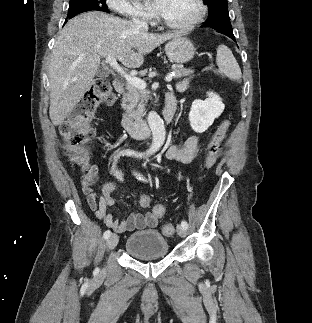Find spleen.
Returning a JSON list of instances; mask_svg holds the SVG:
<instances>
[{
  "label": "spleen",
  "mask_w": 312,
  "mask_h": 323,
  "mask_svg": "<svg viewBox=\"0 0 312 323\" xmlns=\"http://www.w3.org/2000/svg\"><path fill=\"white\" fill-rule=\"evenodd\" d=\"M216 64L224 76H228L230 80H241V70L229 48L227 46H218Z\"/></svg>",
  "instance_id": "spleen-1"
}]
</instances>
